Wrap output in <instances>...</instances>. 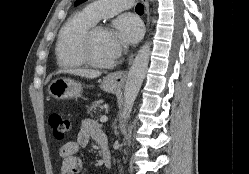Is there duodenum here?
Masks as SVG:
<instances>
[{
  "mask_svg": "<svg viewBox=\"0 0 249 174\" xmlns=\"http://www.w3.org/2000/svg\"><path fill=\"white\" fill-rule=\"evenodd\" d=\"M100 147H101V157L103 164L107 169H111L112 168L111 153L107 146V142L100 144Z\"/></svg>",
  "mask_w": 249,
  "mask_h": 174,
  "instance_id": "410a0bca",
  "label": "duodenum"
}]
</instances>
